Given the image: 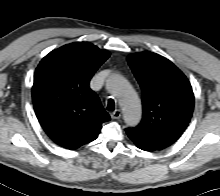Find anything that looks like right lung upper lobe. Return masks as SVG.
<instances>
[{
  "mask_svg": "<svg viewBox=\"0 0 220 196\" xmlns=\"http://www.w3.org/2000/svg\"><path fill=\"white\" fill-rule=\"evenodd\" d=\"M110 53L89 42L64 45L38 65L32 88L36 116L59 146L74 150L95 140L110 120L89 82Z\"/></svg>",
  "mask_w": 220,
  "mask_h": 196,
  "instance_id": "1",
  "label": "right lung upper lobe"
}]
</instances>
